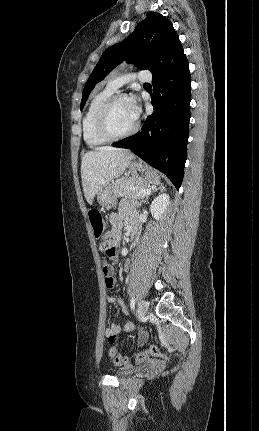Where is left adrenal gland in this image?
<instances>
[{
	"label": "left adrenal gland",
	"instance_id": "1",
	"mask_svg": "<svg viewBox=\"0 0 259 431\" xmlns=\"http://www.w3.org/2000/svg\"><path fill=\"white\" fill-rule=\"evenodd\" d=\"M158 189H160L161 191H163V190L165 189V187H164V185H163V184H160V186H159L158 188L153 189V192H154V191H157ZM150 195H151V193L147 194V195H146V197H145V199H144V200H142V201H141V203H146V202H147V200H148V198L150 197Z\"/></svg>",
	"mask_w": 259,
	"mask_h": 431
}]
</instances>
